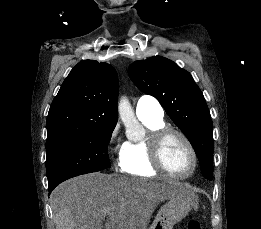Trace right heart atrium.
Segmentation results:
<instances>
[{
	"instance_id": "d8ad5b80",
	"label": "right heart atrium",
	"mask_w": 261,
	"mask_h": 229,
	"mask_svg": "<svg viewBox=\"0 0 261 229\" xmlns=\"http://www.w3.org/2000/svg\"><path fill=\"white\" fill-rule=\"evenodd\" d=\"M117 132H118V128L115 127L111 132V136H110L111 142H114V140L117 136ZM121 147H119L118 153H117V155L115 157V161H114L115 167L118 168V169L123 168V158H122V155H121Z\"/></svg>"
}]
</instances>
